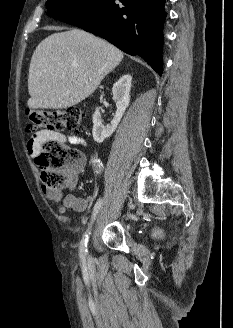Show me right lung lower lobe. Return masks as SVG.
Returning a JSON list of instances; mask_svg holds the SVG:
<instances>
[{
  "label": "right lung lower lobe",
  "mask_w": 233,
  "mask_h": 328,
  "mask_svg": "<svg viewBox=\"0 0 233 328\" xmlns=\"http://www.w3.org/2000/svg\"><path fill=\"white\" fill-rule=\"evenodd\" d=\"M100 0L61 21L101 36L122 51L142 57L162 74L166 0Z\"/></svg>",
  "instance_id": "1"
}]
</instances>
